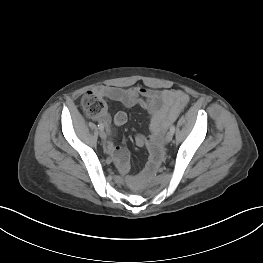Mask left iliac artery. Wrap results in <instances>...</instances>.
Segmentation results:
<instances>
[{
    "label": "left iliac artery",
    "instance_id": "left-iliac-artery-1",
    "mask_svg": "<svg viewBox=\"0 0 263 263\" xmlns=\"http://www.w3.org/2000/svg\"><path fill=\"white\" fill-rule=\"evenodd\" d=\"M170 131H171L172 133L175 132V126H174V125H172V126L170 127Z\"/></svg>",
    "mask_w": 263,
    "mask_h": 263
}]
</instances>
